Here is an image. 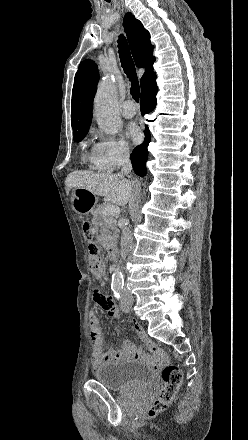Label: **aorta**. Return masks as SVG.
<instances>
[{"label":"aorta","mask_w":248,"mask_h":440,"mask_svg":"<svg viewBox=\"0 0 248 440\" xmlns=\"http://www.w3.org/2000/svg\"><path fill=\"white\" fill-rule=\"evenodd\" d=\"M94 104L95 118L100 129L107 134H116L121 126V118L117 108L116 87L112 81L105 80L99 85ZM122 286L123 276L118 266L112 275L111 287L120 289Z\"/></svg>","instance_id":"1"}]
</instances>
